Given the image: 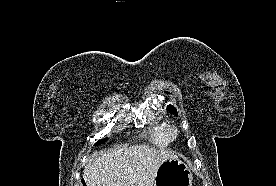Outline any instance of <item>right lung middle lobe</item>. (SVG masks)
I'll return each mask as SVG.
<instances>
[{"label":"right lung middle lobe","mask_w":276,"mask_h":186,"mask_svg":"<svg viewBox=\"0 0 276 186\" xmlns=\"http://www.w3.org/2000/svg\"><path fill=\"white\" fill-rule=\"evenodd\" d=\"M107 139H108V138H105V139H102V140L97 141V142L95 143V146L104 143Z\"/></svg>","instance_id":"obj_1"}]
</instances>
